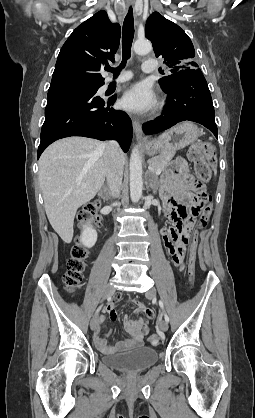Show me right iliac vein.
<instances>
[{"mask_svg":"<svg viewBox=\"0 0 255 418\" xmlns=\"http://www.w3.org/2000/svg\"><path fill=\"white\" fill-rule=\"evenodd\" d=\"M114 291H115L114 286L112 284H108L105 287L103 298L107 299V298L111 297L114 294ZM98 324H99V316L95 315L90 322V328L92 330H95L98 327Z\"/></svg>","mask_w":255,"mask_h":418,"instance_id":"1","label":"right iliac vein"}]
</instances>
